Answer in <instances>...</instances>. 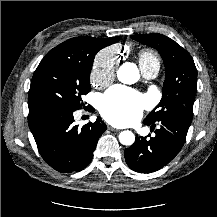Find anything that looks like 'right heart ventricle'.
<instances>
[{
    "mask_svg": "<svg viewBox=\"0 0 217 217\" xmlns=\"http://www.w3.org/2000/svg\"><path fill=\"white\" fill-rule=\"evenodd\" d=\"M137 58L141 69L153 64L160 65L157 55L149 49L139 51Z\"/></svg>",
    "mask_w": 217,
    "mask_h": 217,
    "instance_id": "right-heart-ventricle-1",
    "label": "right heart ventricle"
}]
</instances>
